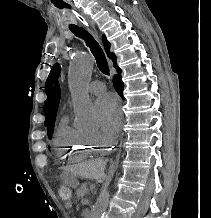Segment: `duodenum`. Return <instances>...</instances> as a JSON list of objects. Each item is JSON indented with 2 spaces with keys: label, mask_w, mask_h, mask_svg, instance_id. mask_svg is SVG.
Listing matches in <instances>:
<instances>
[{
  "label": "duodenum",
  "mask_w": 211,
  "mask_h": 218,
  "mask_svg": "<svg viewBox=\"0 0 211 218\" xmlns=\"http://www.w3.org/2000/svg\"><path fill=\"white\" fill-rule=\"evenodd\" d=\"M90 214H91V212H90L89 209H85V210L83 211V217H84V218H89V217H90Z\"/></svg>",
  "instance_id": "obj_1"
}]
</instances>
